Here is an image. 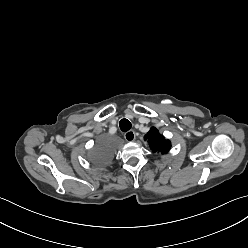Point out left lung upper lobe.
<instances>
[{
	"label": "left lung upper lobe",
	"instance_id": "obj_1",
	"mask_svg": "<svg viewBox=\"0 0 248 248\" xmlns=\"http://www.w3.org/2000/svg\"><path fill=\"white\" fill-rule=\"evenodd\" d=\"M144 138L148 140L150 147L154 152L167 153L171 148L170 141L159 134L155 127H152Z\"/></svg>",
	"mask_w": 248,
	"mask_h": 248
}]
</instances>
